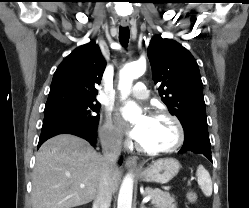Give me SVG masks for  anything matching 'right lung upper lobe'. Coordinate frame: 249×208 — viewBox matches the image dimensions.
<instances>
[{
	"mask_svg": "<svg viewBox=\"0 0 249 208\" xmlns=\"http://www.w3.org/2000/svg\"><path fill=\"white\" fill-rule=\"evenodd\" d=\"M106 62L93 41L76 48L54 73L45 107L94 100Z\"/></svg>",
	"mask_w": 249,
	"mask_h": 208,
	"instance_id": "1",
	"label": "right lung upper lobe"
}]
</instances>
